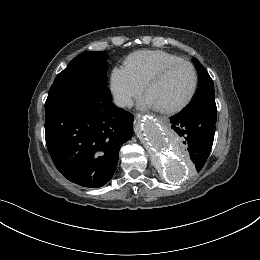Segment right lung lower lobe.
<instances>
[{
    "label": "right lung lower lobe",
    "mask_w": 260,
    "mask_h": 260,
    "mask_svg": "<svg viewBox=\"0 0 260 260\" xmlns=\"http://www.w3.org/2000/svg\"><path fill=\"white\" fill-rule=\"evenodd\" d=\"M45 111L46 145L56 168L80 186L105 185L132 136L133 115L114 105L107 86L46 103Z\"/></svg>",
    "instance_id": "98d812e1"
}]
</instances>
